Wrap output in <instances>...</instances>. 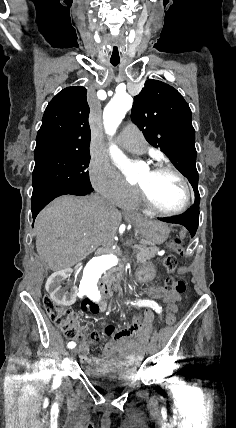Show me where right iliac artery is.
<instances>
[{"label":"right iliac artery","instance_id":"right-iliac-artery-1","mask_svg":"<svg viewBox=\"0 0 236 428\" xmlns=\"http://www.w3.org/2000/svg\"><path fill=\"white\" fill-rule=\"evenodd\" d=\"M77 295H78L80 298H82V297L85 295V293H83V292H79ZM75 346H76L75 342H69V343H68V348H70V349L74 348Z\"/></svg>","mask_w":236,"mask_h":428}]
</instances>
